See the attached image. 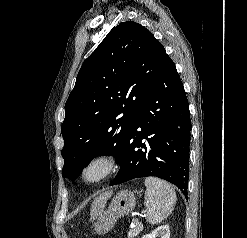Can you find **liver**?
<instances>
[{
	"label": "liver",
	"mask_w": 247,
	"mask_h": 238,
	"mask_svg": "<svg viewBox=\"0 0 247 238\" xmlns=\"http://www.w3.org/2000/svg\"><path fill=\"white\" fill-rule=\"evenodd\" d=\"M111 195L112 191H107L94 199L91 206V220H94L103 212L104 206Z\"/></svg>",
	"instance_id": "obj_1"
}]
</instances>
